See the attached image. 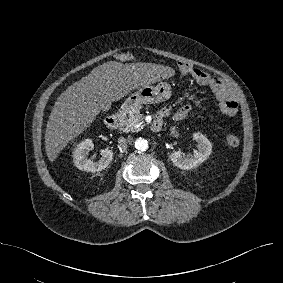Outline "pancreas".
I'll use <instances>...</instances> for the list:
<instances>
[{
    "instance_id": "1",
    "label": "pancreas",
    "mask_w": 283,
    "mask_h": 283,
    "mask_svg": "<svg viewBox=\"0 0 283 283\" xmlns=\"http://www.w3.org/2000/svg\"><path fill=\"white\" fill-rule=\"evenodd\" d=\"M143 120V115L139 112V107L134 109L124 121L121 130L123 132H136L140 130L139 123Z\"/></svg>"
}]
</instances>
